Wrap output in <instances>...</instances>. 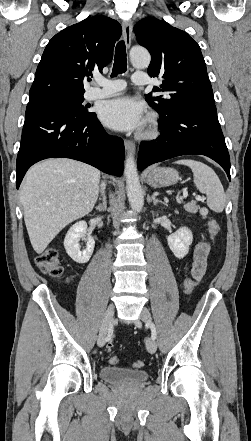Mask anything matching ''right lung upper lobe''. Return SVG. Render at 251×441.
I'll return each mask as SVG.
<instances>
[{"mask_svg": "<svg viewBox=\"0 0 251 441\" xmlns=\"http://www.w3.org/2000/svg\"><path fill=\"white\" fill-rule=\"evenodd\" d=\"M122 33L114 19L98 15L69 26L47 44L29 92V103L54 95L84 94L83 80L111 62Z\"/></svg>", "mask_w": 251, "mask_h": 441, "instance_id": "right-lung-upper-lobe-1", "label": "right lung upper lobe"}]
</instances>
